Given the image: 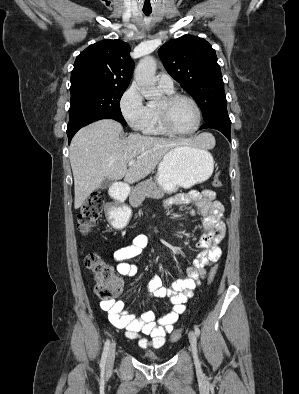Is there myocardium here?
I'll return each mask as SVG.
<instances>
[{
  "mask_svg": "<svg viewBox=\"0 0 299 394\" xmlns=\"http://www.w3.org/2000/svg\"><path fill=\"white\" fill-rule=\"evenodd\" d=\"M181 99L189 101L193 105V107L195 108V111H196V115H197L196 124L189 131H179V130L175 129L171 123L170 108L176 101L181 100ZM157 112H158L161 126L163 127V129L167 133L172 134V135L184 136V135L193 134L199 129V127L201 125V121H202V112H201V109H200L198 103L195 101V99H193L192 97L185 95V94L173 93L171 95H165L163 97V99L161 100V103H159L157 105Z\"/></svg>",
  "mask_w": 299,
  "mask_h": 394,
  "instance_id": "myocardium-1",
  "label": "myocardium"
}]
</instances>
